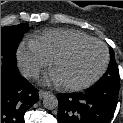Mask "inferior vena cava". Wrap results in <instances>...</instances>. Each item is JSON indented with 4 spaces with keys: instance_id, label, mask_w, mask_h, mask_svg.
Segmentation results:
<instances>
[{
    "instance_id": "obj_1",
    "label": "inferior vena cava",
    "mask_w": 123,
    "mask_h": 123,
    "mask_svg": "<svg viewBox=\"0 0 123 123\" xmlns=\"http://www.w3.org/2000/svg\"><path fill=\"white\" fill-rule=\"evenodd\" d=\"M22 74L25 78H36L39 76V70L37 69H24Z\"/></svg>"
}]
</instances>
